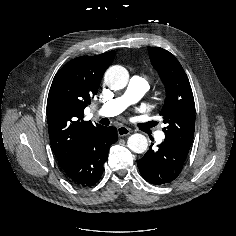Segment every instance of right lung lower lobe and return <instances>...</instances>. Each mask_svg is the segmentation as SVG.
I'll return each mask as SVG.
<instances>
[{
    "instance_id": "obj_1",
    "label": "right lung lower lobe",
    "mask_w": 236,
    "mask_h": 236,
    "mask_svg": "<svg viewBox=\"0 0 236 236\" xmlns=\"http://www.w3.org/2000/svg\"><path fill=\"white\" fill-rule=\"evenodd\" d=\"M117 141L115 127L100 126L88 137L75 164L65 171L68 179L79 187H91L103 173L110 146Z\"/></svg>"
}]
</instances>
